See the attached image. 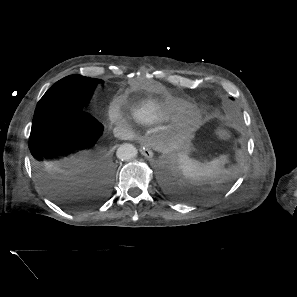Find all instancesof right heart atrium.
Returning a JSON list of instances; mask_svg holds the SVG:
<instances>
[{
	"mask_svg": "<svg viewBox=\"0 0 297 297\" xmlns=\"http://www.w3.org/2000/svg\"><path fill=\"white\" fill-rule=\"evenodd\" d=\"M111 115L114 120H120V115L118 112L114 111Z\"/></svg>",
	"mask_w": 297,
	"mask_h": 297,
	"instance_id": "1",
	"label": "right heart atrium"
}]
</instances>
